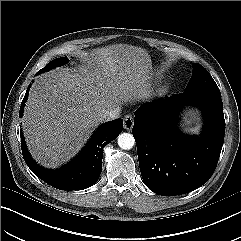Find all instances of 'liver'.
I'll list each match as a JSON object with an SVG mask.
<instances>
[{"label":"liver","mask_w":241,"mask_h":241,"mask_svg":"<svg viewBox=\"0 0 241 241\" xmlns=\"http://www.w3.org/2000/svg\"><path fill=\"white\" fill-rule=\"evenodd\" d=\"M75 73L55 69L33 83L22 118L32 157L47 168L70 160L102 122L100 115L151 96L152 61L143 48L95 50Z\"/></svg>","instance_id":"liver-1"}]
</instances>
